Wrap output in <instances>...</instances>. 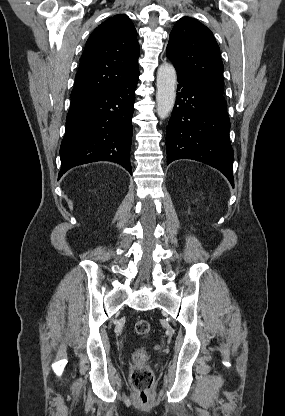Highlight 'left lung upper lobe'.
Returning <instances> with one entry per match:
<instances>
[{
    "label": "left lung upper lobe",
    "instance_id": "obj_1",
    "mask_svg": "<svg viewBox=\"0 0 285 416\" xmlns=\"http://www.w3.org/2000/svg\"><path fill=\"white\" fill-rule=\"evenodd\" d=\"M167 57L177 76L223 95V63L212 32L190 17L179 19L169 36Z\"/></svg>",
    "mask_w": 285,
    "mask_h": 416
}]
</instances>
